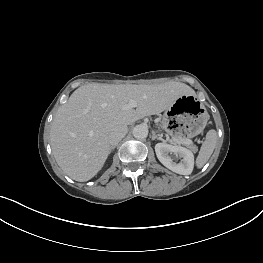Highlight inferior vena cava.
Masks as SVG:
<instances>
[{
    "instance_id": "obj_1",
    "label": "inferior vena cava",
    "mask_w": 263,
    "mask_h": 263,
    "mask_svg": "<svg viewBox=\"0 0 263 263\" xmlns=\"http://www.w3.org/2000/svg\"><path fill=\"white\" fill-rule=\"evenodd\" d=\"M127 126L116 127L109 135V143L111 147L116 146L119 141L126 135Z\"/></svg>"
}]
</instances>
